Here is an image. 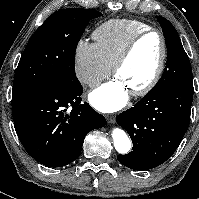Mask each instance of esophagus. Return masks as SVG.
Listing matches in <instances>:
<instances>
[{
    "label": "esophagus",
    "mask_w": 199,
    "mask_h": 199,
    "mask_svg": "<svg viewBox=\"0 0 199 199\" xmlns=\"http://www.w3.org/2000/svg\"><path fill=\"white\" fill-rule=\"evenodd\" d=\"M106 118H107L108 123H111V124L114 123L116 119L114 115H107Z\"/></svg>",
    "instance_id": "esophagus-1"
}]
</instances>
